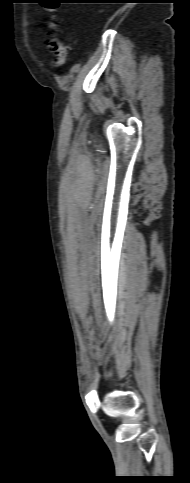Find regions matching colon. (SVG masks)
<instances>
[{
	"label": "colon",
	"mask_w": 190,
	"mask_h": 483,
	"mask_svg": "<svg viewBox=\"0 0 190 483\" xmlns=\"http://www.w3.org/2000/svg\"><path fill=\"white\" fill-rule=\"evenodd\" d=\"M49 29L52 31V37L48 42L47 49L52 56V64L55 67H62L67 61L68 47L60 36L56 17L52 18Z\"/></svg>",
	"instance_id": "5ec220e1"
}]
</instances>
